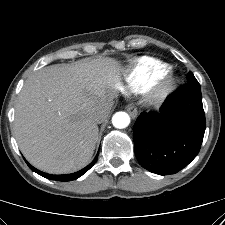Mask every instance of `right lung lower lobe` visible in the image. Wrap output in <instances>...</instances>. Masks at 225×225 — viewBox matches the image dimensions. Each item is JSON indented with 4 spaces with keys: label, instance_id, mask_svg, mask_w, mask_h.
<instances>
[{
    "label": "right lung lower lobe",
    "instance_id": "1",
    "mask_svg": "<svg viewBox=\"0 0 225 225\" xmlns=\"http://www.w3.org/2000/svg\"><path fill=\"white\" fill-rule=\"evenodd\" d=\"M98 156V154H97ZM97 156L95 157V159L85 168H83L82 170L72 173V174H65V175H52V174H48V173H44L40 170H37L36 168H34L32 165H30L27 161V165L30 167V169L36 173H38L39 175L47 178V179H51V180H55V181H62V182H66V181H72V180H76L77 178L81 177L83 174H85L96 162Z\"/></svg>",
    "mask_w": 225,
    "mask_h": 225
}]
</instances>
